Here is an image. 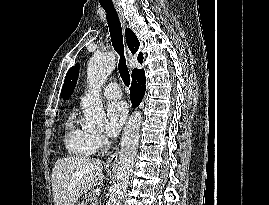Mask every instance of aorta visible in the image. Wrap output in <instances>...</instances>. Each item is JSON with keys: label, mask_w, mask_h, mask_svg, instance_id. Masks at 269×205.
Instances as JSON below:
<instances>
[{"label": "aorta", "mask_w": 269, "mask_h": 205, "mask_svg": "<svg viewBox=\"0 0 269 205\" xmlns=\"http://www.w3.org/2000/svg\"><path fill=\"white\" fill-rule=\"evenodd\" d=\"M115 64L116 56L112 52L95 54L88 62L87 81L91 90L81 101L85 117V127L88 129L101 126L105 119L103 105L98 97V89H100L107 77L111 74ZM141 123L142 115L140 112L133 113L126 123L121 139L116 178L110 190L108 205H121L125 196L129 177L134 168Z\"/></svg>", "instance_id": "1"}]
</instances>
